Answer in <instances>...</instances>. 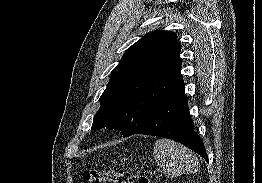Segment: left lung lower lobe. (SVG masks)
Instances as JSON below:
<instances>
[{"mask_svg": "<svg viewBox=\"0 0 262 183\" xmlns=\"http://www.w3.org/2000/svg\"><path fill=\"white\" fill-rule=\"evenodd\" d=\"M184 83L153 113L147 124L135 134L169 138L190 148L206 162L203 141L195 131L188 109Z\"/></svg>", "mask_w": 262, "mask_h": 183, "instance_id": "left-lung-lower-lobe-1", "label": "left lung lower lobe"}]
</instances>
